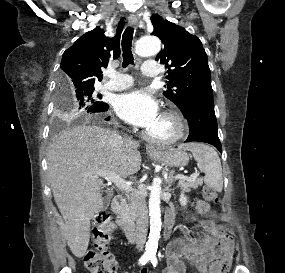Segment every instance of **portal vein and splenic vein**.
<instances>
[{
    "instance_id": "18ae733b",
    "label": "portal vein and splenic vein",
    "mask_w": 285,
    "mask_h": 273,
    "mask_svg": "<svg viewBox=\"0 0 285 273\" xmlns=\"http://www.w3.org/2000/svg\"><path fill=\"white\" fill-rule=\"evenodd\" d=\"M96 176L102 177V178H108L111 180L118 188L122 190H131V184L126 182L122 177H120L118 174L110 171H104V170H98L95 173ZM197 178V174H192L190 177L184 175V174H177L175 177V180H194Z\"/></svg>"
}]
</instances>
